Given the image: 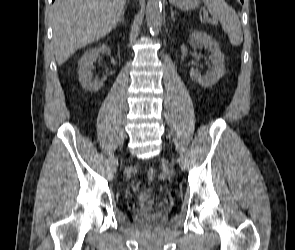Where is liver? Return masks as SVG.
<instances>
[{"label":"liver","instance_id":"6515ba94","mask_svg":"<svg viewBox=\"0 0 295 250\" xmlns=\"http://www.w3.org/2000/svg\"><path fill=\"white\" fill-rule=\"evenodd\" d=\"M126 0H55L53 42L58 65L78 49L108 35L124 13Z\"/></svg>","mask_w":295,"mask_h":250}]
</instances>
